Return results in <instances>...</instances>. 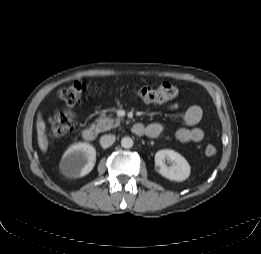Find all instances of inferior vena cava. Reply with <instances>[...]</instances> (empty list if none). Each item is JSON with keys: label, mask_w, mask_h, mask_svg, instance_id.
Instances as JSON below:
<instances>
[{"label": "inferior vena cava", "mask_w": 261, "mask_h": 254, "mask_svg": "<svg viewBox=\"0 0 261 254\" xmlns=\"http://www.w3.org/2000/svg\"><path fill=\"white\" fill-rule=\"evenodd\" d=\"M115 142V136L114 135H103L101 138H100V145L103 147V148H108L110 147L113 143Z\"/></svg>", "instance_id": "1"}]
</instances>
